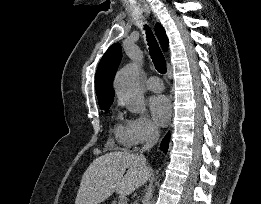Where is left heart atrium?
I'll return each instance as SVG.
<instances>
[{
    "label": "left heart atrium",
    "mask_w": 261,
    "mask_h": 204,
    "mask_svg": "<svg viewBox=\"0 0 261 204\" xmlns=\"http://www.w3.org/2000/svg\"><path fill=\"white\" fill-rule=\"evenodd\" d=\"M151 114L159 125H166L171 117V104L163 95L153 96L149 101Z\"/></svg>",
    "instance_id": "left-heart-atrium-1"
}]
</instances>
